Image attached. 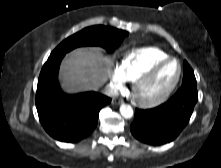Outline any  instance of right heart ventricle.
<instances>
[{
    "label": "right heart ventricle",
    "mask_w": 221,
    "mask_h": 168,
    "mask_svg": "<svg viewBox=\"0 0 221 168\" xmlns=\"http://www.w3.org/2000/svg\"><path fill=\"white\" fill-rule=\"evenodd\" d=\"M168 57L165 51L157 47L139 48L125 54L118 69L125 80L135 82L151 66Z\"/></svg>",
    "instance_id": "e07e8e85"
}]
</instances>
